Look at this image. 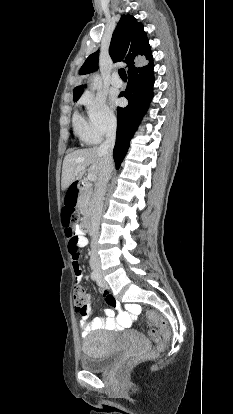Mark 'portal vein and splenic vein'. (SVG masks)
Listing matches in <instances>:
<instances>
[{
    "label": "portal vein and splenic vein",
    "mask_w": 233,
    "mask_h": 414,
    "mask_svg": "<svg viewBox=\"0 0 233 414\" xmlns=\"http://www.w3.org/2000/svg\"><path fill=\"white\" fill-rule=\"evenodd\" d=\"M77 162H80V160H78ZM82 169H84V167ZM87 179L89 181H96L97 177L94 174H88Z\"/></svg>",
    "instance_id": "portal-vein-and-splenic-vein-1"
}]
</instances>
